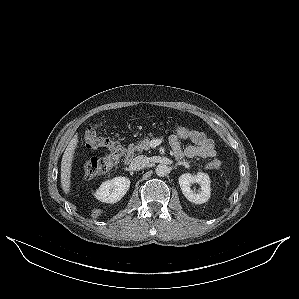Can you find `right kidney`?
<instances>
[{"mask_svg":"<svg viewBox=\"0 0 299 299\" xmlns=\"http://www.w3.org/2000/svg\"><path fill=\"white\" fill-rule=\"evenodd\" d=\"M130 180L126 177H115L103 182L95 192V197L101 202L116 203L128 191Z\"/></svg>","mask_w":299,"mask_h":299,"instance_id":"ca27d5eb","label":"right kidney"}]
</instances>
